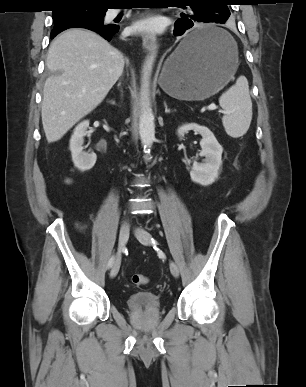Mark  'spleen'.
<instances>
[{"label":"spleen","mask_w":306,"mask_h":387,"mask_svg":"<svg viewBox=\"0 0 306 387\" xmlns=\"http://www.w3.org/2000/svg\"><path fill=\"white\" fill-rule=\"evenodd\" d=\"M219 104L224 110L222 123L226 133L233 138L243 136L252 120V101L245 76H240L235 85L221 95Z\"/></svg>","instance_id":"obj_1"}]
</instances>
